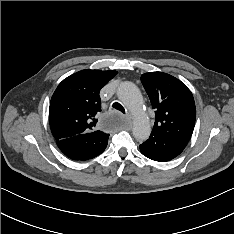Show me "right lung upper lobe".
Wrapping results in <instances>:
<instances>
[{
	"label": "right lung upper lobe",
	"instance_id": "cb5924a9",
	"mask_svg": "<svg viewBox=\"0 0 234 234\" xmlns=\"http://www.w3.org/2000/svg\"><path fill=\"white\" fill-rule=\"evenodd\" d=\"M116 74L114 70L87 69L70 75L58 85L49 107L50 128L57 141L99 131V92Z\"/></svg>",
	"mask_w": 234,
	"mask_h": 234
}]
</instances>
